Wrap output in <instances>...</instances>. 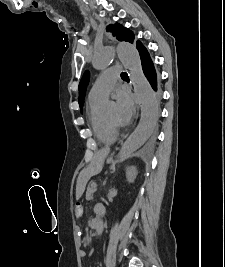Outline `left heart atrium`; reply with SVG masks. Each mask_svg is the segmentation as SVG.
<instances>
[{
	"instance_id": "39dd6f15",
	"label": "left heart atrium",
	"mask_w": 225,
	"mask_h": 267,
	"mask_svg": "<svg viewBox=\"0 0 225 267\" xmlns=\"http://www.w3.org/2000/svg\"><path fill=\"white\" fill-rule=\"evenodd\" d=\"M116 100V124L125 126L128 124L134 113L132 97L126 90H119L115 95Z\"/></svg>"
}]
</instances>
